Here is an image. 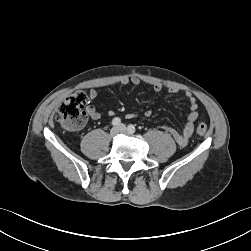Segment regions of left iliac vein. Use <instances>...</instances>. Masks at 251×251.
<instances>
[{"label": "left iliac vein", "instance_id": "4c4485c4", "mask_svg": "<svg viewBox=\"0 0 251 251\" xmlns=\"http://www.w3.org/2000/svg\"><path fill=\"white\" fill-rule=\"evenodd\" d=\"M119 129H120V132H122V133H125V134L131 133V132L128 130V128H127L124 124H121V125L119 126Z\"/></svg>", "mask_w": 251, "mask_h": 251}]
</instances>
